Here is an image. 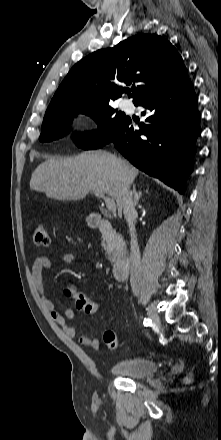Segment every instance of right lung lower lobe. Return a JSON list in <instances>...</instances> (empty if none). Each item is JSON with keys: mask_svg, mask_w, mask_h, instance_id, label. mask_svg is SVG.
Returning <instances> with one entry per match:
<instances>
[{"mask_svg": "<svg viewBox=\"0 0 221 440\" xmlns=\"http://www.w3.org/2000/svg\"><path fill=\"white\" fill-rule=\"evenodd\" d=\"M197 102L187 78L135 103L147 109L141 113L147 117L146 123L136 130L127 118L108 143L113 142L134 166L183 193L201 132Z\"/></svg>", "mask_w": 221, "mask_h": 440, "instance_id": "1", "label": "right lung lower lobe"}]
</instances>
